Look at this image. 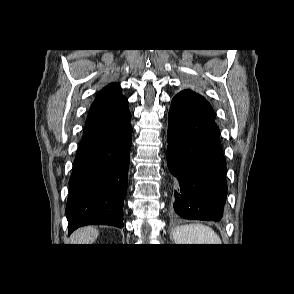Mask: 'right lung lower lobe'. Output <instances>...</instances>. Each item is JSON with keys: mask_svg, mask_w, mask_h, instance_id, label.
<instances>
[{"mask_svg": "<svg viewBox=\"0 0 294 294\" xmlns=\"http://www.w3.org/2000/svg\"><path fill=\"white\" fill-rule=\"evenodd\" d=\"M127 103L89 111L69 181V234L90 224L123 227L132 133Z\"/></svg>", "mask_w": 294, "mask_h": 294, "instance_id": "1", "label": "right lung lower lobe"}]
</instances>
